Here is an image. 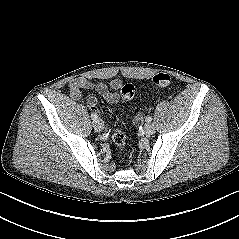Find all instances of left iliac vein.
Wrapping results in <instances>:
<instances>
[{"label": "left iliac vein", "mask_w": 239, "mask_h": 239, "mask_svg": "<svg viewBox=\"0 0 239 239\" xmlns=\"http://www.w3.org/2000/svg\"><path fill=\"white\" fill-rule=\"evenodd\" d=\"M144 132L147 136H151L155 132V127L151 123H147L144 126Z\"/></svg>", "instance_id": "obj_1"}]
</instances>
